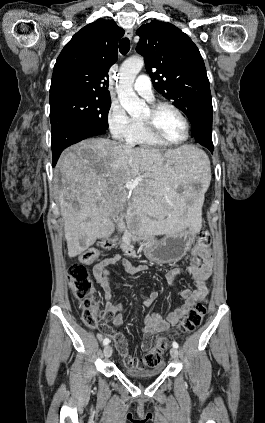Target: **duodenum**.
I'll list each match as a JSON object with an SVG mask.
<instances>
[{"mask_svg": "<svg viewBox=\"0 0 265 423\" xmlns=\"http://www.w3.org/2000/svg\"><path fill=\"white\" fill-rule=\"evenodd\" d=\"M125 228H126V225H125V222L124 221H122L121 223H120V231L122 232V233H124V231H125ZM123 247H124V249L129 253V254H133V251L130 249V247H129V242L128 241H126V240H124L123 241Z\"/></svg>", "mask_w": 265, "mask_h": 423, "instance_id": "duodenum-1", "label": "duodenum"}]
</instances>
